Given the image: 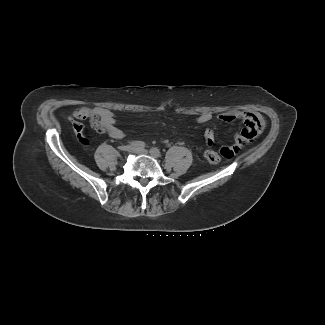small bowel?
Masks as SVG:
<instances>
[{
    "instance_id": "1",
    "label": "small bowel",
    "mask_w": 325,
    "mask_h": 325,
    "mask_svg": "<svg viewBox=\"0 0 325 325\" xmlns=\"http://www.w3.org/2000/svg\"><path fill=\"white\" fill-rule=\"evenodd\" d=\"M209 112H202L197 116L199 124H208L212 120ZM219 120L224 123L239 121L242 126L234 135V142L230 146H222L220 153L224 158H232L250 142H252L261 129L265 126V120L257 113L251 111L225 112L219 115ZM82 121H89L90 127L98 133H106L110 137L121 140L124 138L123 131L117 127L114 113L104 107H81L72 115L73 129L79 140L86 144V131L81 124ZM204 140L207 146L215 144V132L207 129L204 133Z\"/></svg>"
}]
</instances>
